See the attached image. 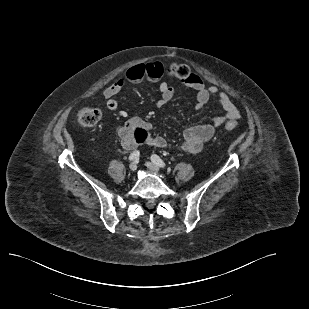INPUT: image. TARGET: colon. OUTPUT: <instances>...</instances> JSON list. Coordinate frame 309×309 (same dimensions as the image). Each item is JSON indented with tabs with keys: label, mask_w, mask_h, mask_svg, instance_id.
<instances>
[{
	"label": "colon",
	"mask_w": 309,
	"mask_h": 309,
	"mask_svg": "<svg viewBox=\"0 0 309 309\" xmlns=\"http://www.w3.org/2000/svg\"><path fill=\"white\" fill-rule=\"evenodd\" d=\"M171 74L179 79L180 81H186L189 79L192 74L189 70V68L184 64H174L170 68ZM101 118V112L98 108L95 107H83L81 108L77 113V121L78 123L88 129H92L96 127L99 120ZM237 124L236 122L227 121L224 124V128L228 131H232L236 128ZM133 136L138 143V145L143 144L146 133L143 129H136L133 132Z\"/></svg>",
	"instance_id": "1"
}]
</instances>
